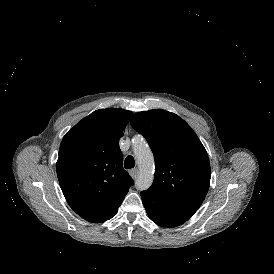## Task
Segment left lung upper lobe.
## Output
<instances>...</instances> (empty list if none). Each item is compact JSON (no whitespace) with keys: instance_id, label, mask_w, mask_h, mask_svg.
Wrapping results in <instances>:
<instances>
[{"instance_id":"left-lung-upper-lobe-1","label":"left lung upper lobe","mask_w":274,"mask_h":274,"mask_svg":"<svg viewBox=\"0 0 274 274\" xmlns=\"http://www.w3.org/2000/svg\"><path fill=\"white\" fill-rule=\"evenodd\" d=\"M132 127L148 141L155 159V178L148 191L164 200L198 210L210 185L207 152L192 128L165 110L136 113Z\"/></svg>"}]
</instances>
